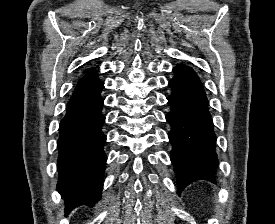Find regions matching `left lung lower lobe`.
<instances>
[{"label":"left lung lower lobe","instance_id":"1","mask_svg":"<svg viewBox=\"0 0 275 224\" xmlns=\"http://www.w3.org/2000/svg\"><path fill=\"white\" fill-rule=\"evenodd\" d=\"M169 81L171 106L166 120L171 126V161L177 176L178 193L192 182H214L218 158L216 134L203 86L195 72L187 66L173 68Z\"/></svg>","mask_w":275,"mask_h":224}]
</instances>
